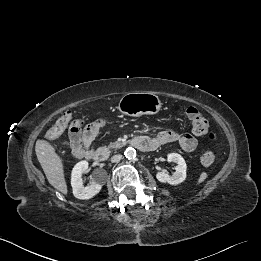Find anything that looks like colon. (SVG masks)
<instances>
[{"mask_svg":"<svg viewBox=\"0 0 261 261\" xmlns=\"http://www.w3.org/2000/svg\"><path fill=\"white\" fill-rule=\"evenodd\" d=\"M185 114L191 123L192 131L198 136L208 134L210 141H215L216 133L209 131L208 120L202 113L194 107H186ZM83 122L79 119H74L71 113H65L57 121V123L47 132V139L58 138L67 128L69 129V136L71 141L79 139ZM215 161V154L212 151L204 152L200 157V162L204 166H210Z\"/></svg>","mask_w":261,"mask_h":261,"instance_id":"5ec220e1","label":"colon"}]
</instances>
